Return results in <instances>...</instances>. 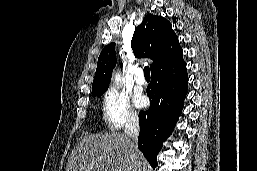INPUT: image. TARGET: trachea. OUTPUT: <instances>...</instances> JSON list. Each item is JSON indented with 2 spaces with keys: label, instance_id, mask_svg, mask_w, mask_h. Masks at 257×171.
Instances as JSON below:
<instances>
[{
  "label": "trachea",
  "instance_id": "trachea-1",
  "mask_svg": "<svg viewBox=\"0 0 257 171\" xmlns=\"http://www.w3.org/2000/svg\"><path fill=\"white\" fill-rule=\"evenodd\" d=\"M144 76L145 77H150V68L149 66L144 67Z\"/></svg>",
  "mask_w": 257,
  "mask_h": 171
}]
</instances>
